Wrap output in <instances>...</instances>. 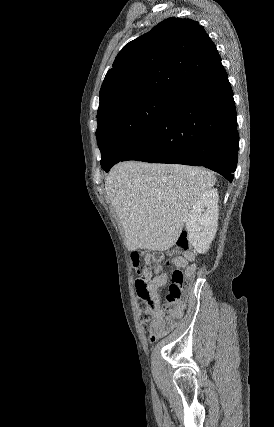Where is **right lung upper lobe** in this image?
<instances>
[{"label": "right lung upper lobe", "instance_id": "obj_1", "mask_svg": "<svg viewBox=\"0 0 274 427\" xmlns=\"http://www.w3.org/2000/svg\"><path fill=\"white\" fill-rule=\"evenodd\" d=\"M215 44L192 19L168 18L129 42L103 81L97 115L140 96H179L223 70Z\"/></svg>", "mask_w": 274, "mask_h": 427}]
</instances>
